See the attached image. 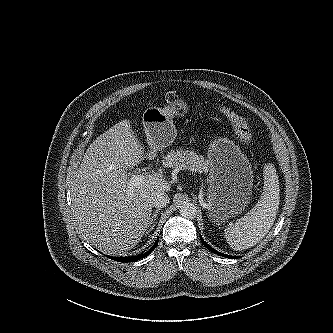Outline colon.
Masks as SVG:
<instances>
[{"instance_id":"5ec220e1","label":"colon","mask_w":333,"mask_h":333,"mask_svg":"<svg viewBox=\"0 0 333 333\" xmlns=\"http://www.w3.org/2000/svg\"><path fill=\"white\" fill-rule=\"evenodd\" d=\"M219 108L231 122L240 143L243 146L249 145L252 140V133L246 120L223 103H219Z\"/></svg>"}]
</instances>
